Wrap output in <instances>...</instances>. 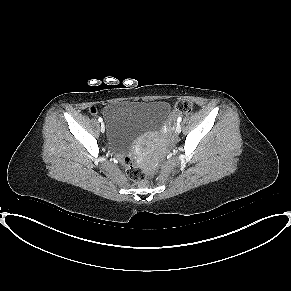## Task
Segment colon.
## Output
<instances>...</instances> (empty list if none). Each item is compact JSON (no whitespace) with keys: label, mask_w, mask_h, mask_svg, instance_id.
<instances>
[{"label":"colon","mask_w":291,"mask_h":291,"mask_svg":"<svg viewBox=\"0 0 291 291\" xmlns=\"http://www.w3.org/2000/svg\"><path fill=\"white\" fill-rule=\"evenodd\" d=\"M193 110L192 102L186 99L180 100L175 105L176 113H190ZM127 167V175L135 183H142L145 180L144 172L135 166L132 158L129 156L124 159Z\"/></svg>","instance_id":"5ec220e1"}]
</instances>
